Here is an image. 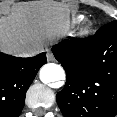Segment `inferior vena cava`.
Returning a JSON list of instances; mask_svg holds the SVG:
<instances>
[{
    "instance_id": "602c4592",
    "label": "inferior vena cava",
    "mask_w": 117,
    "mask_h": 117,
    "mask_svg": "<svg viewBox=\"0 0 117 117\" xmlns=\"http://www.w3.org/2000/svg\"><path fill=\"white\" fill-rule=\"evenodd\" d=\"M40 51H41L40 46L29 47V48L25 49L24 51H22L19 54V56H21V57H31V56H35V55L39 54Z\"/></svg>"
}]
</instances>
